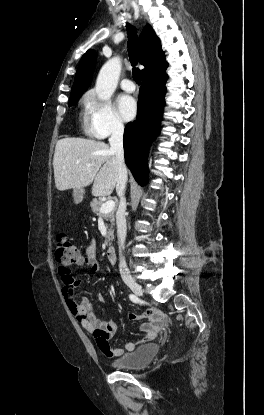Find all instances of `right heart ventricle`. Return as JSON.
<instances>
[{
	"mask_svg": "<svg viewBox=\"0 0 264 415\" xmlns=\"http://www.w3.org/2000/svg\"><path fill=\"white\" fill-rule=\"evenodd\" d=\"M83 124L88 133H91L90 127H89V119H88V101H83Z\"/></svg>",
	"mask_w": 264,
	"mask_h": 415,
	"instance_id": "obj_1",
	"label": "right heart ventricle"
}]
</instances>
